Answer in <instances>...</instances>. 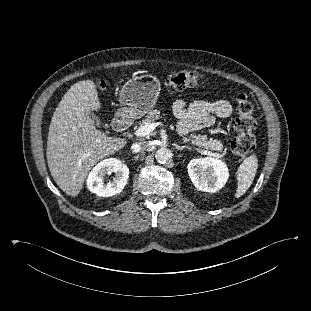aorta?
Wrapping results in <instances>:
<instances>
[{
	"mask_svg": "<svg viewBox=\"0 0 311 311\" xmlns=\"http://www.w3.org/2000/svg\"><path fill=\"white\" fill-rule=\"evenodd\" d=\"M171 156V151L166 147L159 148L155 153V158L159 163H166Z\"/></svg>",
	"mask_w": 311,
	"mask_h": 311,
	"instance_id": "762f6f07",
	"label": "aorta"
}]
</instances>
